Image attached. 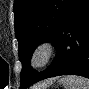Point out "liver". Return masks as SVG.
<instances>
[{
    "label": "liver",
    "mask_w": 89,
    "mask_h": 89,
    "mask_svg": "<svg viewBox=\"0 0 89 89\" xmlns=\"http://www.w3.org/2000/svg\"><path fill=\"white\" fill-rule=\"evenodd\" d=\"M54 81L55 79H50L46 81L43 85L35 86L33 89H45V88H40V87H47L48 85L52 84Z\"/></svg>",
    "instance_id": "6515ba94"
}]
</instances>
